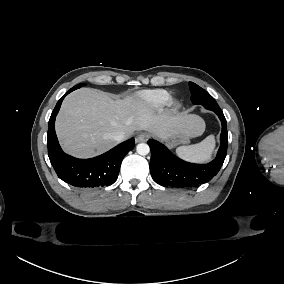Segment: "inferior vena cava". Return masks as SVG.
<instances>
[{"mask_svg": "<svg viewBox=\"0 0 284 284\" xmlns=\"http://www.w3.org/2000/svg\"><path fill=\"white\" fill-rule=\"evenodd\" d=\"M125 139V135L123 133H118L117 135L114 136V140L116 142H121Z\"/></svg>", "mask_w": 284, "mask_h": 284, "instance_id": "inferior-vena-cava-1", "label": "inferior vena cava"}]
</instances>
